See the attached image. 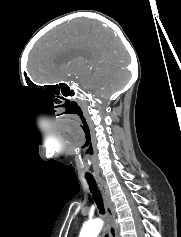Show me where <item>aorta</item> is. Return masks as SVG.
Returning a JSON list of instances; mask_svg holds the SVG:
<instances>
[{
    "label": "aorta",
    "mask_w": 181,
    "mask_h": 237,
    "mask_svg": "<svg viewBox=\"0 0 181 237\" xmlns=\"http://www.w3.org/2000/svg\"><path fill=\"white\" fill-rule=\"evenodd\" d=\"M103 227V221L99 218L88 221L81 229L79 237H97Z\"/></svg>",
    "instance_id": "obj_1"
}]
</instances>
